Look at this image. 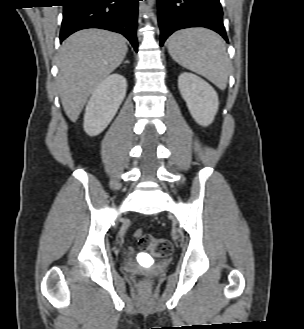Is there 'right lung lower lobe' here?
Here are the masks:
<instances>
[{
	"instance_id": "98d812e1",
	"label": "right lung lower lobe",
	"mask_w": 304,
	"mask_h": 329,
	"mask_svg": "<svg viewBox=\"0 0 304 329\" xmlns=\"http://www.w3.org/2000/svg\"><path fill=\"white\" fill-rule=\"evenodd\" d=\"M60 42L86 28H101L124 35L137 51V14L140 0H65Z\"/></svg>"
}]
</instances>
